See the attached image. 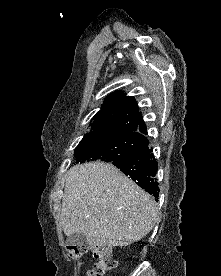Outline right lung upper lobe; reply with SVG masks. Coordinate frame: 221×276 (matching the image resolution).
Wrapping results in <instances>:
<instances>
[{
	"label": "right lung upper lobe",
	"instance_id": "right-lung-upper-lobe-1",
	"mask_svg": "<svg viewBox=\"0 0 221 276\" xmlns=\"http://www.w3.org/2000/svg\"><path fill=\"white\" fill-rule=\"evenodd\" d=\"M93 120L90 124L91 132L85 134L83 139L110 133H123L142 138H145L142 134H147L137 102L122 91L107 96Z\"/></svg>",
	"mask_w": 221,
	"mask_h": 276
}]
</instances>
